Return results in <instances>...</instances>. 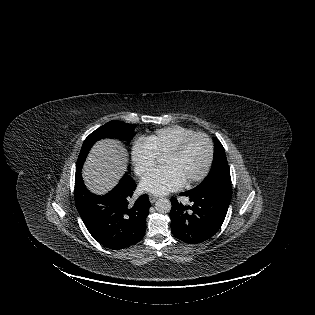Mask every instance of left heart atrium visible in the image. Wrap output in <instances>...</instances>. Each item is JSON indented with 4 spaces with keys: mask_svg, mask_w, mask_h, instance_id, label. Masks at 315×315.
I'll return each mask as SVG.
<instances>
[{
    "mask_svg": "<svg viewBox=\"0 0 315 315\" xmlns=\"http://www.w3.org/2000/svg\"><path fill=\"white\" fill-rule=\"evenodd\" d=\"M184 183L185 180L175 169L163 166L153 170L142 180L141 189L152 194L165 195L177 190Z\"/></svg>",
    "mask_w": 315,
    "mask_h": 315,
    "instance_id": "39dd6f15",
    "label": "left heart atrium"
}]
</instances>
